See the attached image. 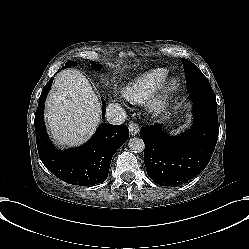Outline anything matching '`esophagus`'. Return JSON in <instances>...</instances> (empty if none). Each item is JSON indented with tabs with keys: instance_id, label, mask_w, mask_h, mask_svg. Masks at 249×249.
Segmentation results:
<instances>
[{
	"instance_id": "esophagus-1",
	"label": "esophagus",
	"mask_w": 249,
	"mask_h": 249,
	"mask_svg": "<svg viewBox=\"0 0 249 249\" xmlns=\"http://www.w3.org/2000/svg\"><path fill=\"white\" fill-rule=\"evenodd\" d=\"M129 130H130V134L131 135H136L139 133V126L138 124L134 123L133 121H131L129 123Z\"/></svg>"
}]
</instances>
